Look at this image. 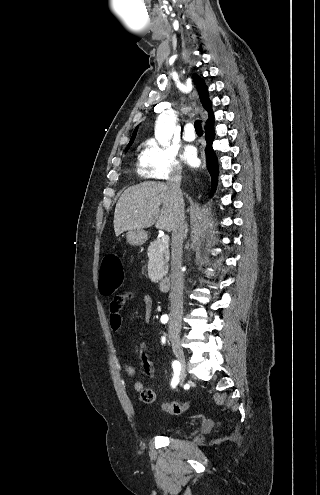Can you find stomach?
<instances>
[{
	"mask_svg": "<svg viewBox=\"0 0 320 495\" xmlns=\"http://www.w3.org/2000/svg\"><path fill=\"white\" fill-rule=\"evenodd\" d=\"M127 242L132 246H141L143 245L148 236L147 232L143 229H131L126 233Z\"/></svg>",
	"mask_w": 320,
	"mask_h": 495,
	"instance_id": "stomach-1",
	"label": "stomach"
}]
</instances>
